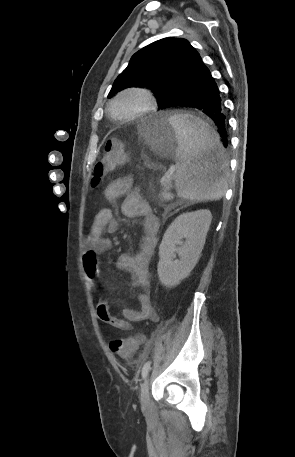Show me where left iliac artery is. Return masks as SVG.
I'll list each match as a JSON object with an SVG mask.
<instances>
[{"instance_id": "obj_1", "label": "left iliac artery", "mask_w": 295, "mask_h": 457, "mask_svg": "<svg viewBox=\"0 0 295 457\" xmlns=\"http://www.w3.org/2000/svg\"><path fill=\"white\" fill-rule=\"evenodd\" d=\"M150 365H151V362L148 361L144 364L143 368H142V377L143 379H145L149 373V370H150Z\"/></svg>"}]
</instances>
